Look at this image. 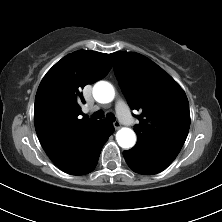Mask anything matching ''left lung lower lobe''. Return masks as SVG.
I'll return each instance as SVG.
<instances>
[{
    "mask_svg": "<svg viewBox=\"0 0 222 222\" xmlns=\"http://www.w3.org/2000/svg\"><path fill=\"white\" fill-rule=\"evenodd\" d=\"M123 156L128 166L139 174H156L163 171L168 164L138 150L130 149L123 152Z\"/></svg>",
    "mask_w": 222,
    "mask_h": 222,
    "instance_id": "obj_1",
    "label": "left lung lower lobe"
}]
</instances>
